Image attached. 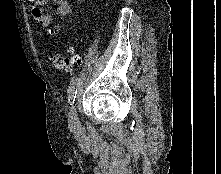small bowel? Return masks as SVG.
<instances>
[{
  "mask_svg": "<svg viewBox=\"0 0 221 174\" xmlns=\"http://www.w3.org/2000/svg\"><path fill=\"white\" fill-rule=\"evenodd\" d=\"M32 3V16L36 23L43 29L50 28L55 16L64 17L71 10L70 3L67 0H53L56 4V9L52 13L44 12V5L48 0H29ZM62 29L61 25H57L50 29V33H56Z\"/></svg>",
  "mask_w": 221,
  "mask_h": 174,
  "instance_id": "obj_1",
  "label": "small bowel"
}]
</instances>
